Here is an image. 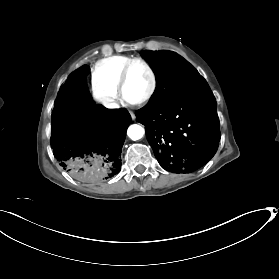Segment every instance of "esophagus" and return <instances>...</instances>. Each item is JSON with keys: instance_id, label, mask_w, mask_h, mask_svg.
<instances>
[{"instance_id": "esophagus-1", "label": "esophagus", "mask_w": 279, "mask_h": 279, "mask_svg": "<svg viewBox=\"0 0 279 279\" xmlns=\"http://www.w3.org/2000/svg\"><path fill=\"white\" fill-rule=\"evenodd\" d=\"M130 114H131L132 119H135V115L132 111L130 112Z\"/></svg>"}]
</instances>
